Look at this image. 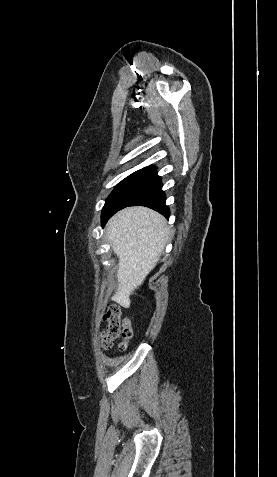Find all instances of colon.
Wrapping results in <instances>:
<instances>
[{
    "instance_id": "1",
    "label": "colon",
    "mask_w": 277,
    "mask_h": 477,
    "mask_svg": "<svg viewBox=\"0 0 277 477\" xmlns=\"http://www.w3.org/2000/svg\"><path fill=\"white\" fill-rule=\"evenodd\" d=\"M122 310L119 306L110 307L103 316L107 322V327L102 333V344L105 348H110L113 342L121 338L119 349L125 350L133 336V329L130 320L122 319Z\"/></svg>"
}]
</instances>
